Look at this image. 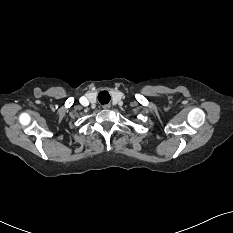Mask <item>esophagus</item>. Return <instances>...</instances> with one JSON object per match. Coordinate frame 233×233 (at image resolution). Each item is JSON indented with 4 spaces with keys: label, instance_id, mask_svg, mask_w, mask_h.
<instances>
[{
    "label": "esophagus",
    "instance_id": "1",
    "mask_svg": "<svg viewBox=\"0 0 233 233\" xmlns=\"http://www.w3.org/2000/svg\"><path fill=\"white\" fill-rule=\"evenodd\" d=\"M103 108H104V109H108V108H110V105H108V104H107V105H104Z\"/></svg>",
    "mask_w": 233,
    "mask_h": 233
}]
</instances>
